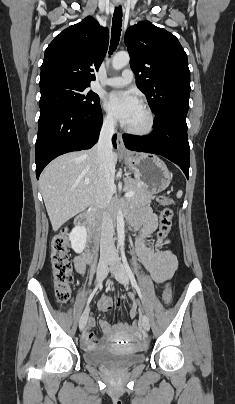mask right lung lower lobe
<instances>
[{"instance_id":"98d812e1","label":"right lung lower lobe","mask_w":235,"mask_h":404,"mask_svg":"<svg viewBox=\"0 0 235 404\" xmlns=\"http://www.w3.org/2000/svg\"><path fill=\"white\" fill-rule=\"evenodd\" d=\"M102 126L101 107L72 111L63 107L40 109L35 145L36 176L59 155L91 148ZM116 147V135L112 139Z\"/></svg>"}]
</instances>
